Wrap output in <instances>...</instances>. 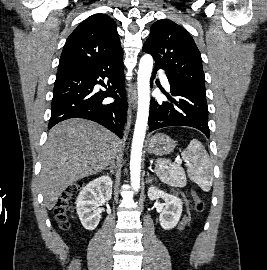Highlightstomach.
Here are the masks:
<instances>
[{
    "instance_id": "1",
    "label": "stomach",
    "mask_w": 267,
    "mask_h": 270,
    "mask_svg": "<svg viewBox=\"0 0 267 270\" xmlns=\"http://www.w3.org/2000/svg\"><path fill=\"white\" fill-rule=\"evenodd\" d=\"M176 146L175 141L166 134L158 133L147 141V150L156 155L170 154Z\"/></svg>"
}]
</instances>
